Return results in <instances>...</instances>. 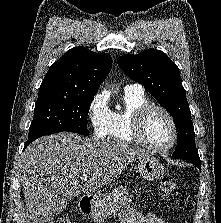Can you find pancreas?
<instances>
[{
	"label": "pancreas",
	"mask_w": 221,
	"mask_h": 223,
	"mask_svg": "<svg viewBox=\"0 0 221 223\" xmlns=\"http://www.w3.org/2000/svg\"><path fill=\"white\" fill-rule=\"evenodd\" d=\"M131 203L132 196L123 187H118L103 200L100 207L94 212L93 220L95 223H104L107 217H110L118 210L130 206Z\"/></svg>",
	"instance_id": "1"
}]
</instances>
